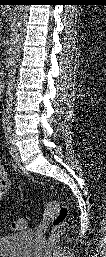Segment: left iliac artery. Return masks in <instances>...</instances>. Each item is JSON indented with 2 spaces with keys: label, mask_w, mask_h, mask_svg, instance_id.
Instances as JSON below:
<instances>
[{
  "label": "left iliac artery",
  "mask_w": 106,
  "mask_h": 257,
  "mask_svg": "<svg viewBox=\"0 0 106 257\" xmlns=\"http://www.w3.org/2000/svg\"><path fill=\"white\" fill-rule=\"evenodd\" d=\"M6 139L11 142L12 139V130L10 128L6 129Z\"/></svg>",
  "instance_id": "obj_1"
}]
</instances>
